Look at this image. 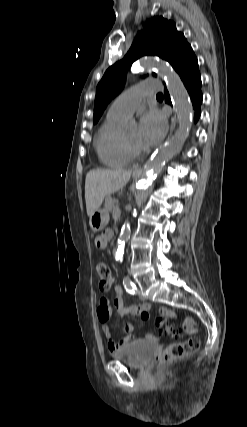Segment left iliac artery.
Returning <instances> with one entry per match:
<instances>
[{
    "mask_svg": "<svg viewBox=\"0 0 247 427\" xmlns=\"http://www.w3.org/2000/svg\"><path fill=\"white\" fill-rule=\"evenodd\" d=\"M123 284H124V287L128 293H130L132 295L136 294V292H137L136 285L134 284V282H132V280L130 278L125 277L123 280Z\"/></svg>",
    "mask_w": 247,
    "mask_h": 427,
    "instance_id": "1",
    "label": "left iliac artery"
}]
</instances>
